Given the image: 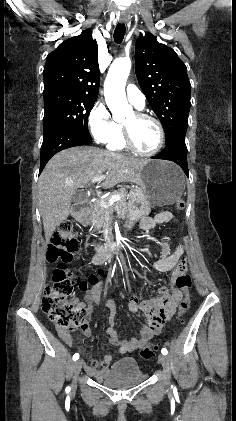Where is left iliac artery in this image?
I'll use <instances>...</instances> for the list:
<instances>
[{"label": "left iliac artery", "mask_w": 236, "mask_h": 421, "mask_svg": "<svg viewBox=\"0 0 236 421\" xmlns=\"http://www.w3.org/2000/svg\"><path fill=\"white\" fill-rule=\"evenodd\" d=\"M161 353H162L163 355H167L168 351H167V349H166V348H163V349L161 350Z\"/></svg>", "instance_id": "obj_1"}]
</instances>
